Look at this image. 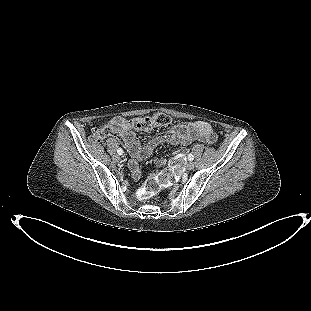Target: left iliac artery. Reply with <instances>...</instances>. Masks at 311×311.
Masks as SVG:
<instances>
[{"instance_id": "1", "label": "left iliac artery", "mask_w": 311, "mask_h": 311, "mask_svg": "<svg viewBox=\"0 0 311 311\" xmlns=\"http://www.w3.org/2000/svg\"><path fill=\"white\" fill-rule=\"evenodd\" d=\"M188 159H189V161H193V159H194L193 154L190 153V154L188 155Z\"/></svg>"}]
</instances>
